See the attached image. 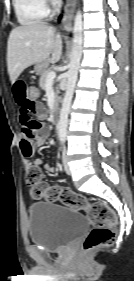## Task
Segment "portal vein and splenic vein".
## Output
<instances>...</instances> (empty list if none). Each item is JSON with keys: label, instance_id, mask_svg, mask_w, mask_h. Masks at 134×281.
<instances>
[{"label": "portal vein and splenic vein", "instance_id": "1", "mask_svg": "<svg viewBox=\"0 0 134 281\" xmlns=\"http://www.w3.org/2000/svg\"><path fill=\"white\" fill-rule=\"evenodd\" d=\"M56 77V73L54 71L50 72L48 75H47V79H46V82L48 81H53Z\"/></svg>", "mask_w": 134, "mask_h": 281}]
</instances>
